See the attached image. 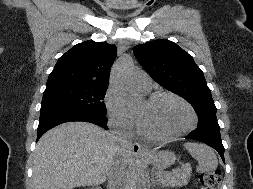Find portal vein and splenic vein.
Here are the masks:
<instances>
[{
    "label": "portal vein and splenic vein",
    "mask_w": 253,
    "mask_h": 189,
    "mask_svg": "<svg viewBox=\"0 0 253 189\" xmlns=\"http://www.w3.org/2000/svg\"><path fill=\"white\" fill-rule=\"evenodd\" d=\"M182 169L190 170L191 167H190V165H183V166H182ZM182 169H181V170H182ZM178 171H180L179 168L175 169L173 172H178Z\"/></svg>",
    "instance_id": "1"
}]
</instances>
